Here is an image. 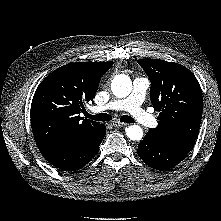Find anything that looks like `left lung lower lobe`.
Wrapping results in <instances>:
<instances>
[{
  "label": "left lung lower lobe",
  "mask_w": 221,
  "mask_h": 221,
  "mask_svg": "<svg viewBox=\"0 0 221 221\" xmlns=\"http://www.w3.org/2000/svg\"><path fill=\"white\" fill-rule=\"evenodd\" d=\"M137 153L148 166L156 170L170 169L180 163L188 154L173 147L159 144L147 135L138 144Z\"/></svg>",
  "instance_id": "0a47b994"
}]
</instances>
